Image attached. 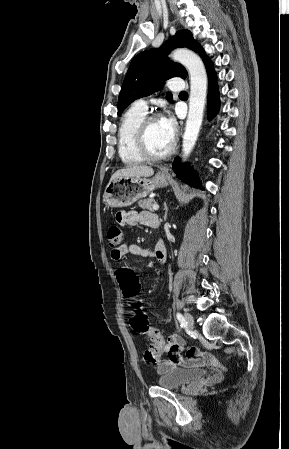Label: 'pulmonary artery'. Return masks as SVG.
Returning <instances> with one entry per match:
<instances>
[{
	"label": "pulmonary artery",
	"instance_id": "pulmonary-artery-1",
	"mask_svg": "<svg viewBox=\"0 0 289 449\" xmlns=\"http://www.w3.org/2000/svg\"><path fill=\"white\" fill-rule=\"evenodd\" d=\"M167 86L171 90H179L183 87V82L180 78L175 77L168 80ZM133 105L141 110H148V103L145 99H138Z\"/></svg>",
	"mask_w": 289,
	"mask_h": 449
}]
</instances>
